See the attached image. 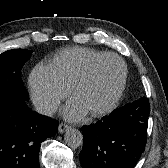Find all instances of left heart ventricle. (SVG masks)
<instances>
[{"mask_svg":"<svg viewBox=\"0 0 168 168\" xmlns=\"http://www.w3.org/2000/svg\"><path fill=\"white\" fill-rule=\"evenodd\" d=\"M121 73L118 61L109 59L102 62L90 81L78 90L75 97L86 106L89 112L103 107L113 96Z\"/></svg>","mask_w":168,"mask_h":168,"instance_id":"obj_1","label":"left heart ventricle"}]
</instances>
